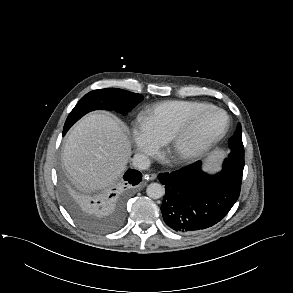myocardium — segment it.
Segmentation results:
<instances>
[{"instance_id": "obj_1", "label": "myocardium", "mask_w": 293, "mask_h": 293, "mask_svg": "<svg viewBox=\"0 0 293 293\" xmlns=\"http://www.w3.org/2000/svg\"><path fill=\"white\" fill-rule=\"evenodd\" d=\"M215 111L223 115L224 124L221 129L206 141L193 146L185 147V141L198 120L207 112ZM230 119L223 109L209 105L191 114L168 138L167 149L175 162L186 164L193 162L209 152L227 133Z\"/></svg>"}]
</instances>
